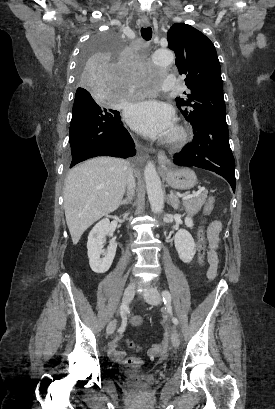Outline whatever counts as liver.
Masks as SVG:
<instances>
[{"instance_id": "1", "label": "liver", "mask_w": 275, "mask_h": 409, "mask_svg": "<svg viewBox=\"0 0 275 409\" xmlns=\"http://www.w3.org/2000/svg\"><path fill=\"white\" fill-rule=\"evenodd\" d=\"M123 158L97 156L71 168L64 188V211L73 245L84 231L118 209L128 176Z\"/></svg>"}]
</instances>
